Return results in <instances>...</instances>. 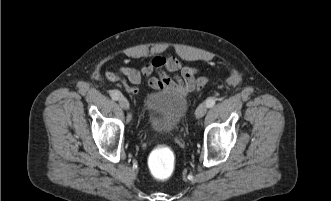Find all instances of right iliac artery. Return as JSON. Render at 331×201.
Here are the masks:
<instances>
[{"label": "right iliac artery", "mask_w": 331, "mask_h": 201, "mask_svg": "<svg viewBox=\"0 0 331 201\" xmlns=\"http://www.w3.org/2000/svg\"><path fill=\"white\" fill-rule=\"evenodd\" d=\"M110 96L113 100H119L121 93L119 91H112Z\"/></svg>", "instance_id": "obj_1"}]
</instances>
